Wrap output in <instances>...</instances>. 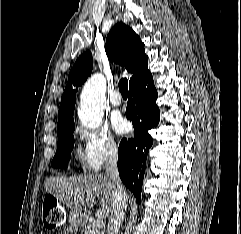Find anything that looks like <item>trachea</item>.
<instances>
[{"label": "trachea", "instance_id": "obj_1", "mask_svg": "<svg viewBox=\"0 0 241 234\" xmlns=\"http://www.w3.org/2000/svg\"><path fill=\"white\" fill-rule=\"evenodd\" d=\"M119 90L123 97L128 95V80L126 78H122L119 81Z\"/></svg>", "mask_w": 241, "mask_h": 234}]
</instances>
